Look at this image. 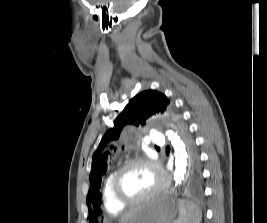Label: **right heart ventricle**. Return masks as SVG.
Returning <instances> with one entry per match:
<instances>
[{"instance_id": "1", "label": "right heart ventricle", "mask_w": 267, "mask_h": 223, "mask_svg": "<svg viewBox=\"0 0 267 223\" xmlns=\"http://www.w3.org/2000/svg\"><path fill=\"white\" fill-rule=\"evenodd\" d=\"M116 170H112L106 176L102 188V201L104 208L110 214H119L125 210V206L119 204L111 192V180Z\"/></svg>"}]
</instances>
